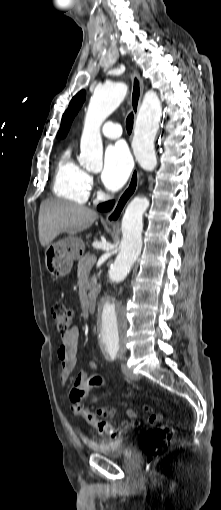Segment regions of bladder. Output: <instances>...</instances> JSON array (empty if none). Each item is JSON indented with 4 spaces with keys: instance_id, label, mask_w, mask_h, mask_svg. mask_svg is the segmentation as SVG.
Here are the masks:
<instances>
[{
    "instance_id": "bladder-1",
    "label": "bladder",
    "mask_w": 221,
    "mask_h": 510,
    "mask_svg": "<svg viewBox=\"0 0 221 510\" xmlns=\"http://www.w3.org/2000/svg\"><path fill=\"white\" fill-rule=\"evenodd\" d=\"M134 435H126L117 441H98L92 443L89 448L110 458L123 457L130 453L134 447Z\"/></svg>"
}]
</instances>
